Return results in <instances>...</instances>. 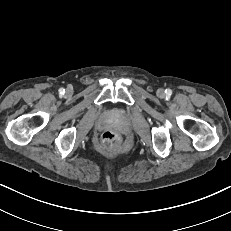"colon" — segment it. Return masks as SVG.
Returning <instances> with one entry per match:
<instances>
[{
  "label": "colon",
  "mask_w": 231,
  "mask_h": 231,
  "mask_svg": "<svg viewBox=\"0 0 231 231\" xmlns=\"http://www.w3.org/2000/svg\"><path fill=\"white\" fill-rule=\"evenodd\" d=\"M101 141L104 145L115 146L119 142V136L113 131H106L102 134Z\"/></svg>",
  "instance_id": "5ec220e1"
}]
</instances>
